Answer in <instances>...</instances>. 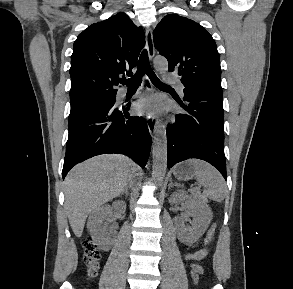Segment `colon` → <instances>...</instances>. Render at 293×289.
<instances>
[{
  "label": "colon",
  "mask_w": 293,
  "mask_h": 289,
  "mask_svg": "<svg viewBox=\"0 0 293 289\" xmlns=\"http://www.w3.org/2000/svg\"><path fill=\"white\" fill-rule=\"evenodd\" d=\"M217 225L213 224L209 231L207 232V235L205 237V244H208L211 242V240L214 237V234L216 232ZM84 247V263L87 268V275L89 278H93L96 276L98 268H99V262L101 259L100 251L97 249V247L90 241L85 240L83 243ZM192 273L194 281L197 282L199 277L202 275L203 271L202 268L198 264H194L192 266Z\"/></svg>",
  "instance_id": "colon-1"
}]
</instances>
